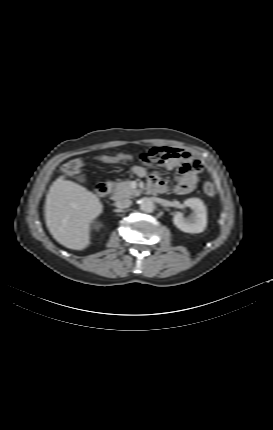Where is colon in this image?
I'll use <instances>...</instances> for the list:
<instances>
[{
    "label": "colon",
    "instance_id": "obj_1",
    "mask_svg": "<svg viewBox=\"0 0 273 430\" xmlns=\"http://www.w3.org/2000/svg\"><path fill=\"white\" fill-rule=\"evenodd\" d=\"M100 160L108 163V162H114L115 158L110 156H102ZM83 165H84V161L82 159L80 158L73 159L63 166V173L66 174L67 176H74L81 171ZM203 191L207 196H213L216 192L215 185L212 182L207 181L203 184Z\"/></svg>",
    "mask_w": 273,
    "mask_h": 430
}]
</instances>
